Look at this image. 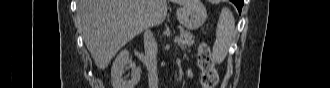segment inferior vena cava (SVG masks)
<instances>
[{"instance_id":"inferior-vena-cava-1","label":"inferior vena cava","mask_w":330,"mask_h":88,"mask_svg":"<svg viewBox=\"0 0 330 88\" xmlns=\"http://www.w3.org/2000/svg\"><path fill=\"white\" fill-rule=\"evenodd\" d=\"M145 28L144 32V50H145V64L148 70L149 88H158V74H157V42L153 33Z\"/></svg>"}]
</instances>
